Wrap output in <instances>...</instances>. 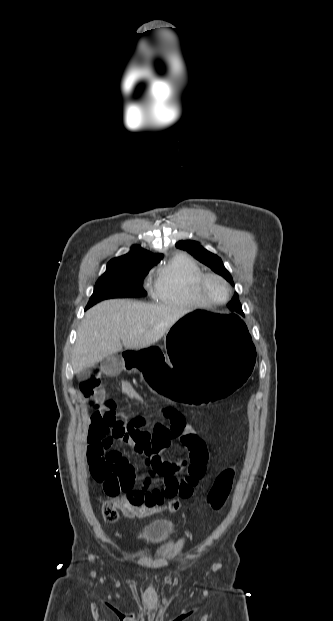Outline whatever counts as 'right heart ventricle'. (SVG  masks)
Here are the masks:
<instances>
[{
	"instance_id": "obj_1",
	"label": "right heart ventricle",
	"mask_w": 333,
	"mask_h": 621,
	"mask_svg": "<svg viewBox=\"0 0 333 621\" xmlns=\"http://www.w3.org/2000/svg\"><path fill=\"white\" fill-rule=\"evenodd\" d=\"M202 274V269L194 260L185 255H177L156 271L152 297L160 303L173 306H207L195 291L196 281Z\"/></svg>"
}]
</instances>
